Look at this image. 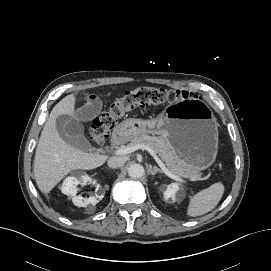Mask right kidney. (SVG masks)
Listing matches in <instances>:
<instances>
[{
    "instance_id": "right-kidney-1",
    "label": "right kidney",
    "mask_w": 271,
    "mask_h": 271,
    "mask_svg": "<svg viewBox=\"0 0 271 271\" xmlns=\"http://www.w3.org/2000/svg\"><path fill=\"white\" fill-rule=\"evenodd\" d=\"M91 182V178L84 176L83 178H78L75 176L67 177L62 184L61 191L63 194L72 197L74 205L79 207H87L88 205H96L104 196L103 190L98 185L94 196L89 198H83L81 196H76L77 194V185L82 184L86 185Z\"/></svg>"
}]
</instances>
